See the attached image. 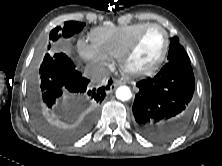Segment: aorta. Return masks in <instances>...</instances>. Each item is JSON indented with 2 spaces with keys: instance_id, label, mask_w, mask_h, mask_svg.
Segmentation results:
<instances>
[{
  "instance_id": "762f6f07",
  "label": "aorta",
  "mask_w": 222,
  "mask_h": 166,
  "mask_svg": "<svg viewBox=\"0 0 222 166\" xmlns=\"http://www.w3.org/2000/svg\"><path fill=\"white\" fill-rule=\"evenodd\" d=\"M116 97L121 101H127L131 99L132 93L128 86H120L116 90Z\"/></svg>"
}]
</instances>
